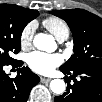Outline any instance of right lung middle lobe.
Returning <instances> with one entry per match:
<instances>
[{"label": "right lung middle lobe", "instance_id": "obj_1", "mask_svg": "<svg viewBox=\"0 0 102 102\" xmlns=\"http://www.w3.org/2000/svg\"><path fill=\"white\" fill-rule=\"evenodd\" d=\"M39 15L38 11L28 12L14 4L0 5V64L9 65L16 60L10 55L20 51L21 34L24 27Z\"/></svg>", "mask_w": 102, "mask_h": 102}]
</instances>
